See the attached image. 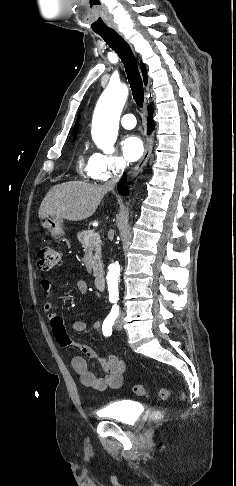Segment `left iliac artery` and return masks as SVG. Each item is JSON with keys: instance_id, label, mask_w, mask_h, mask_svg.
I'll return each instance as SVG.
<instances>
[{"instance_id": "obj_1", "label": "left iliac artery", "mask_w": 236, "mask_h": 486, "mask_svg": "<svg viewBox=\"0 0 236 486\" xmlns=\"http://www.w3.org/2000/svg\"><path fill=\"white\" fill-rule=\"evenodd\" d=\"M111 301H113V302H115L116 300H114V299H111Z\"/></svg>"}]
</instances>
